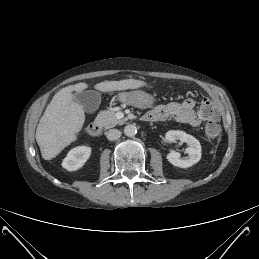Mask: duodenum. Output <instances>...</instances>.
<instances>
[{"label": "duodenum", "instance_id": "410a0bca", "mask_svg": "<svg viewBox=\"0 0 259 259\" xmlns=\"http://www.w3.org/2000/svg\"><path fill=\"white\" fill-rule=\"evenodd\" d=\"M142 120L146 122L151 121V117L149 115H143ZM88 134L92 137H98L101 134V125L97 121H93L88 125L87 128Z\"/></svg>", "mask_w": 259, "mask_h": 259}]
</instances>
